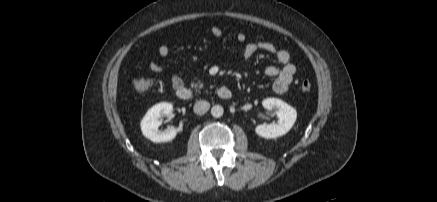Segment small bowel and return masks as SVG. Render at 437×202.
I'll return each instance as SVG.
<instances>
[{
	"label": "small bowel",
	"instance_id": "obj_1",
	"mask_svg": "<svg viewBox=\"0 0 437 202\" xmlns=\"http://www.w3.org/2000/svg\"><path fill=\"white\" fill-rule=\"evenodd\" d=\"M211 34L217 38L221 39L223 37L222 30L213 26L211 28ZM236 41L239 43H244L246 41V36L243 33H238L236 35ZM257 51H264L268 54L273 55L277 61L280 63L279 66L271 65L265 68L264 74L268 77H275L272 88L273 91L277 94H284L288 91L289 86L293 82L294 75L296 73V66L292 63L291 57L288 51L278 48L275 44L264 41V40H255L245 44L243 50V56L245 59H249L252 57ZM158 54L161 57H167L170 54V48L168 45L163 44L158 48ZM191 61L195 62L196 57L192 56ZM149 68L154 73H162L165 71L166 67L155 61H149ZM171 86L176 91L180 87L184 86V78L183 74L178 73L174 74L171 77Z\"/></svg>",
	"mask_w": 437,
	"mask_h": 202
}]
</instances>
